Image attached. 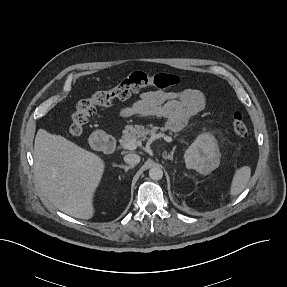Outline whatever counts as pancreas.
<instances>
[{"label": "pancreas", "instance_id": "obj_1", "mask_svg": "<svg viewBox=\"0 0 287 287\" xmlns=\"http://www.w3.org/2000/svg\"><path fill=\"white\" fill-rule=\"evenodd\" d=\"M159 130L163 132L165 131V128L157 126L145 128L143 125H127L123 130V136L120 140V144L124 147L125 144L132 139L145 140L147 135L157 137L160 135Z\"/></svg>", "mask_w": 287, "mask_h": 287}]
</instances>
